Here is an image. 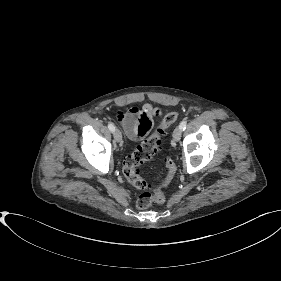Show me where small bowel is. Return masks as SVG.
Listing matches in <instances>:
<instances>
[{
	"label": "small bowel",
	"instance_id": "c3829d8e",
	"mask_svg": "<svg viewBox=\"0 0 281 281\" xmlns=\"http://www.w3.org/2000/svg\"><path fill=\"white\" fill-rule=\"evenodd\" d=\"M161 111L151 104H145L141 108L133 107L126 113H121L118 118L126 133L132 140L145 137L153 126L154 117H159Z\"/></svg>",
	"mask_w": 281,
	"mask_h": 281
}]
</instances>
